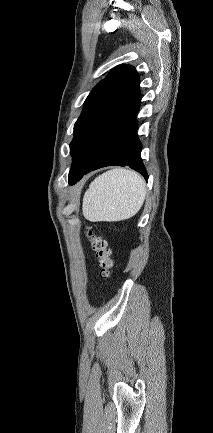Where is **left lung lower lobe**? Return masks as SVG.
Listing matches in <instances>:
<instances>
[{"label": "left lung lower lobe", "instance_id": "1", "mask_svg": "<svg viewBox=\"0 0 213 433\" xmlns=\"http://www.w3.org/2000/svg\"><path fill=\"white\" fill-rule=\"evenodd\" d=\"M139 103L138 98L115 125L94 158L69 179L70 184H74L90 171L111 165L129 166L139 172L146 180L148 179L141 159L142 145L136 133V116L139 111Z\"/></svg>", "mask_w": 213, "mask_h": 433}]
</instances>
